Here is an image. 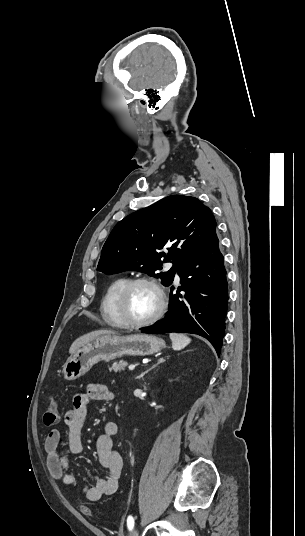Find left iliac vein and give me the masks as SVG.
<instances>
[{
	"instance_id": "4c4485c4",
	"label": "left iliac vein",
	"mask_w": 305,
	"mask_h": 536,
	"mask_svg": "<svg viewBox=\"0 0 305 536\" xmlns=\"http://www.w3.org/2000/svg\"><path fill=\"white\" fill-rule=\"evenodd\" d=\"M129 536H138V530L136 527H134Z\"/></svg>"
}]
</instances>
